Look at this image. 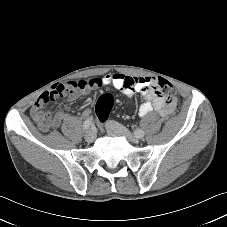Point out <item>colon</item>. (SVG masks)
Masks as SVG:
<instances>
[{
  "instance_id": "5ec220e1",
  "label": "colon",
  "mask_w": 227,
  "mask_h": 227,
  "mask_svg": "<svg viewBox=\"0 0 227 227\" xmlns=\"http://www.w3.org/2000/svg\"><path fill=\"white\" fill-rule=\"evenodd\" d=\"M158 85L163 94L165 95L173 94L174 92L173 86L165 79L159 80ZM112 107H113V97L110 94L101 95L98 98L95 106L97 118L101 122H104L107 119Z\"/></svg>"
}]
</instances>
